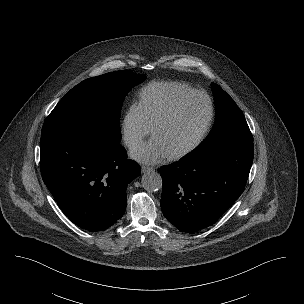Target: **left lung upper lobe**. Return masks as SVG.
Returning <instances> with one entry per match:
<instances>
[{
    "label": "left lung upper lobe",
    "instance_id": "left-lung-upper-lobe-1",
    "mask_svg": "<svg viewBox=\"0 0 304 304\" xmlns=\"http://www.w3.org/2000/svg\"><path fill=\"white\" fill-rule=\"evenodd\" d=\"M212 90L216 105L215 124L207 138L188 156L198 155L229 142H252L246 119L233 99L214 83Z\"/></svg>",
    "mask_w": 304,
    "mask_h": 304
}]
</instances>
